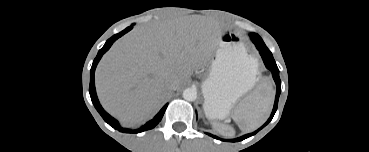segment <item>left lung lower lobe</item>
Listing matches in <instances>:
<instances>
[{"label": "left lung lower lobe", "mask_w": 369, "mask_h": 152, "mask_svg": "<svg viewBox=\"0 0 369 152\" xmlns=\"http://www.w3.org/2000/svg\"><path fill=\"white\" fill-rule=\"evenodd\" d=\"M252 41L254 42V44L256 45L257 49L259 50L262 59L264 61L265 66L271 70L273 78L275 80V83L277 85V91H276V97H275V103H274V107H273V111L271 113L270 118L267 120V122L261 127L259 128L257 131L251 133V134H247L244 135L240 138L237 139H232V140H227L230 142H235V141H240V140H244L254 134H256L259 130H261L263 127H265L273 118L276 110H277V105H278V100H279V96H280V92H281V81L279 78V69L275 63V60L272 56V53L269 51V49L266 47L265 43L263 42V40L261 39L260 36H251ZM212 137H214L215 139H219L218 137L208 134Z\"/></svg>", "instance_id": "obj_1"}]
</instances>
